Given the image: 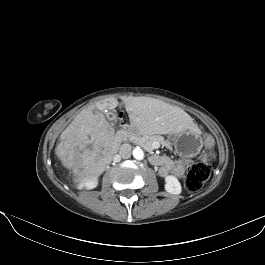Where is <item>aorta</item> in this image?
Returning a JSON list of instances; mask_svg holds the SVG:
<instances>
[{"label":"aorta","mask_w":265,"mask_h":265,"mask_svg":"<svg viewBox=\"0 0 265 265\" xmlns=\"http://www.w3.org/2000/svg\"><path fill=\"white\" fill-rule=\"evenodd\" d=\"M133 157L136 160H142L144 158V152L141 147L137 146L132 151Z\"/></svg>","instance_id":"aorta-1"}]
</instances>
